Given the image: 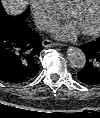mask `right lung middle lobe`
<instances>
[{"mask_svg": "<svg viewBox=\"0 0 100 118\" xmlns=\"http://www.w3.org/2000/svg\"><path fill=\"white\" fill-rule=\"evenodd\" d=\"M1 10H2V8H0ZM2 13H3V15H2V17H4V16H6V14L4 13V11L2 10ZM29 15V11H27L26 13H25V15H23L22 17H27Z\"/></svg>", "mask_w": 100, "mask_h": 118, "instance_id": "obj_1", "label": "right lung middle lobe"}]
</instances>
